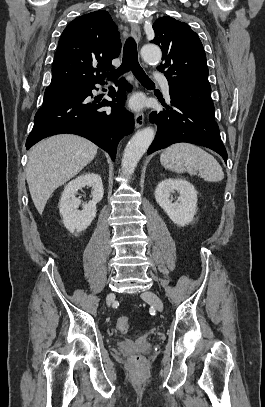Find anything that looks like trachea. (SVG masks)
<instances>
[{"label":"trachea","instance_id":"1","mask_svg":"<svg viewBox=\"0 0 265 407\" xmlns=\"http://www.w3.org/2000/svg\"><path fill=\"white\" fill-rule=\"evenodd\" d=\"M129 70L133 72L140 83L154 85L138 62L137 45L132 37H129L125 42L121 66L117 70L107 73L108 79L116 80L119 76Z\"/></svg>","mask_w":265,"mask_h":407}]
</instances>
